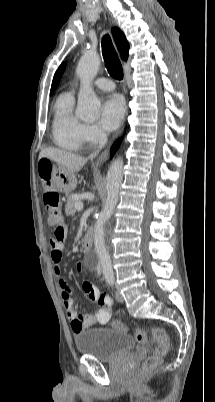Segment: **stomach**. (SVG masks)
<instances>
[{
    "mask_svg": "<svg viewBox=\"0 0 215 402\" xmlns=\"http://www.w3.org/2000/svg\"><path fill=\"white\" fill-rule=\"evenodd\" d=\"M51 181L54 186L65 194L72 192L77 184V179L74 172L69 171L61 165H53L51 171Z\"/></svg>",
    "mask_w": 215,
    "mask_h": 402,
    "instance_id": "stomach-1",
    "label": "stomach"
}]
</instances>
